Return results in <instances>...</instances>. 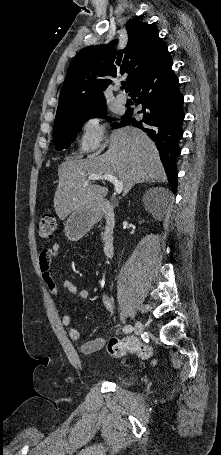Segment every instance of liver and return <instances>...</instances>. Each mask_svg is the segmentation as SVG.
<instances>
[{"instance_id": "6515ba94", "label": "liver", "mask_w": 221, "mask_h": 455, "mask_svg": "<svg viewBox=\"0 0 221 455\" xmlns=\"http://www.w3.org/2000/svg\"><path fill=\"white\" fill-rule=\"evenodd\" d=\"M90 174H112L123 182V194L137 183L165 181L166 176L154 142L141 130L124 127L110 135L108 150L86 160H68L58 168L54 208L64 220L80 206L102 200L108 193L91 184Z\"/></svg>"}]
</instances>
